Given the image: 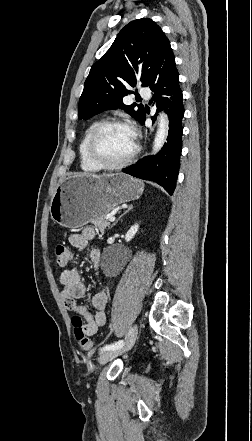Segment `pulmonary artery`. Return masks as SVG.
Here are the masks:
<instances>
[{"label":"pulmonary artery","mask_w":252,"mask_h":441,"mask_svg":"<svg viewBox=\"0 0 252 441\" xmlns=\"http://www.w3.org/2000/svg\"><path fill=\"white\" fill-rule=\"evenodd\" d=\"M139 93H140L141 96H143L145 98L150 97V90L148 88H141L139 90Z\"/></svg>","instance_id":"obj_1"}]
</instances>
